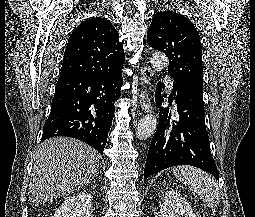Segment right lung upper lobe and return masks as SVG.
Segmentation results:
<instances>
[{"label": "right lung upper lobe", "instance_id": "obj_1", "mask_svg": "<svg viewBox=\"0 0 255 217\" xmlns=\"http://www.w3.org/2000/svg\"><path fill=\"white\" fill-rule=\"evenodd\" d=\"M125 55L111 22L96 17L82 22L70 35L60 77L103 76L121 71Z\"/></svg>", "mask_w": 255, "mask_h": 217}]
</instances>
